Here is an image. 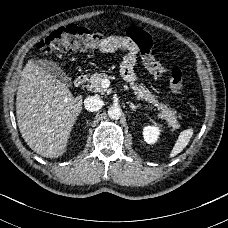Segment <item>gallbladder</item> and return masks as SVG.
<instances>
[{"mask_svg":"<svg viewBox=\"0 0 228 228\" xmlns=\"http://www.w3.org/2000/svg\"><path fill=\"white\" fill-rule=\"evenodd\" d=\"M39 65L45 70L53 73L55 76L59 77L62 82L71 83V77H68L66 73L58 66L57 63L48 60H39Z\"/></svg>","mask_w":228,"mask_h":228,"instance_id":"bac80fb5","label":"gallbladder"}]
</instances>
